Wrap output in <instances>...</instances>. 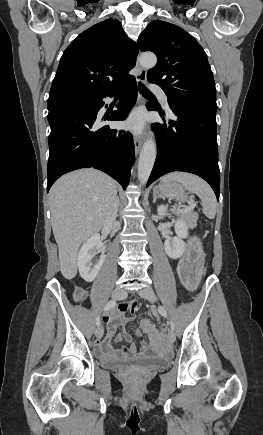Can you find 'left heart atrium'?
Here are the masks:
<instances>
[{"mask_svg": "<svg viewBox=\"0 0 263 435\" xmlns=\"http://www.w3.org/2000/svg\"><path fill=\"white\" fill-rule=\"evenodd\" d=\"M144 126V117L141 113H133L125 122L124 127L133 132L139 133Z\"/></svg>", "mask_w": 263, "mask_h": 435, "instance_id": "1", "label": "left heart atrium"}]
</instances>
